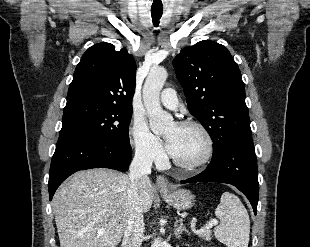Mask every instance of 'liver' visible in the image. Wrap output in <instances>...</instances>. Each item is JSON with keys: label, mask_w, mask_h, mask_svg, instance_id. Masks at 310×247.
<instances>
[{"label": "liver", "mask_w": 310, "mask_h": 247, "mask_svg": "<svg viewBox=\"0 0 310 247\" xmlns=\"http://www.w3.org/2000/svg\"><path fill=\"white\" fill-rule=\"evenodd\" d=\"M128 193L123 173L104 168L75 173L52 200L60 247H116L127 222ZM153 199L148 178L141 194L143 212L150 210Z\"/></svg>", "instance_id": "liver-1"}]
</instances>
